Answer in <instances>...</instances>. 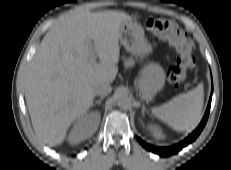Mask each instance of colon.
<instances>
[{"label": "colon", "mask_w": 231, "mask_h": 170, "mask_svg": "<svg viewBox=\"0 0 231 170\" xmlns=\"http://www.w3.org/2000/svg\"><path fill=\"white\" fill-rule=\"evenodd\" d=\"M145 28L167 41L177 51L176 64L168 74L169 84L177 86L185 77L186 70L191 63V42L175 23L166 19L149 18L145 21Z\"/></svg>", "instance_id": "colon-1"}]
</instances>
